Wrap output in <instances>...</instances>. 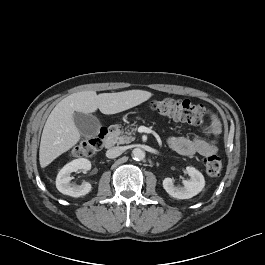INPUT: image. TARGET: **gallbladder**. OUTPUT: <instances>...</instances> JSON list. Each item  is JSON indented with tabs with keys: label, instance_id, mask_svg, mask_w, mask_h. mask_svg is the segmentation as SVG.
I'll return each mask as SVG.
<instances>
[{
	"label": "gallbladder",
	"instance_id": "bac80fb5",
	"mask_svg": "<svg viewBox=\"0 0 265 265\" xmlns=\"http://www.w3.org/2000/svg\"><path fill=\"white\" fill-rule=\"evenodd\" d=\"M75 125L81 135L85 137L95 136L101 128L100 121L97 117L91 114L75 112L73 115Z\"/></svg>",
	"mask_w": 265,
	"mask_h": 265
}]
</instances>
